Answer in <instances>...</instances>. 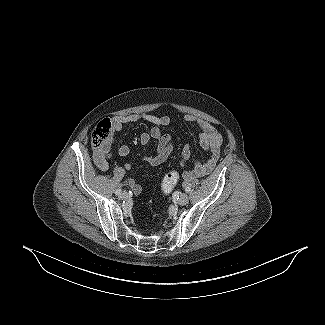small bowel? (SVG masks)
I'll use <instances>...</instances> for the list:
<instances>
[{
  "mask_svg": "<svg viewBox=\"0 0 325 325\" xmlns=\"http://www.w3.org/2000/svg\"><path fill=\"white\" fill-rule=\"evenodd\" d=\"M146 121L152 124L150 132H144L140 135L139 140L142 144H147L151 139L157 141L156 153L153 156H147L144 161L150 165H159L165 162L173 151L172 137L169 134L163 133L162 129L170 124V118L167 116H156L149 113H132L122 116H117L112 119V130L105 144L94 151L93 157L99 169L106 171L109 168V160L112 157L111 147L114 142L115 134L122 131L124 125L129 122ZM185 121L194 124L199 132V144L201 148L210 153L206 161L196 160L194 165L184 173V178L189 179L199 176L209 175L215 168L221 153L223 138L215 129L208 123L198 121L194 116H185ZM130 148L127 145H121L118 148V154L122 157L127 156ZM192 155V148L189 145L183 147L180 154V163L183 167H188V161ZM125 169L130 168V164L124 165ZM129 187L135 194H139L141 188L139 184L128 179Z\"/></svg>",
  "mask_w": 325,
  "mask_h": 325,
  "instance_id": "1",
  "label": "small bowel"
}]
</instances>
